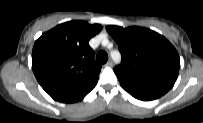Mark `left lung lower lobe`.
Listing matches in <instances>:
<instances>
[{"instance_id": "1", "label": "left lung lower lobe", "mask_w": 203, "mask_h": 123, "mask_svg": "<svg viewBox=\"0 0 203 123\" xmlns=\"http://www.w3.org/2000/svg\"><path fill=\"white\" fill-rule=\"evenodd\" d=\"M120 84L124 90H126L129 94H131L133 97L139 100L150 101L162 96L158 93L147 91L139 87H135V86L123 83L121 81H120Z\"/></svg>"}]
</instances>
